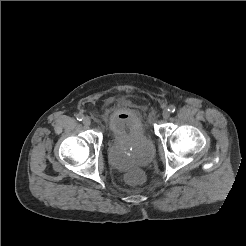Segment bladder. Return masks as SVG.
<instances>
[{
	"label": "bladder",
	"mask_w": 246,
	"mask_h": 246,
	"mask_svg": "<svg viewBox=\"0 0 246 246\" xmlns=\"http://www.w3.org/2000/svg\"><path fill=\"white\" fill-rule=\"evenodd\" d=\"M107 124L112 140L147 139L148 127L142 114L130 107H113L107 111ZM154 157V148L148 144L144 149L125 154L111 151L110 163L118 169H128L132 166H145Z\"/></svg>",
	"instance_id": "obj_1"
}]
</instances>
